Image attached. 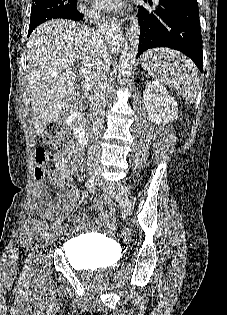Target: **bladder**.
<instances>
[{
  "label": "bladder",
  "mask_w": 227,
  "mask_h": 315,
  "mask_svg": "<svg viewBox=\"0 0 227 315\" xmlns=\"http://www.w3.org/2000/svg\"><path fill=\"white\" fill-rule=\"evenodd\" d=\"M69 245L75 249L71 263L79 269L110 267L117 257L111 244L96 237L75 238L69 241Z\"/></svg>",
  "instance_id": "31cf9c89"
}]
</instances>
